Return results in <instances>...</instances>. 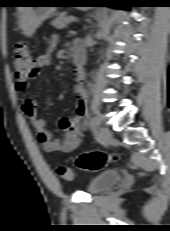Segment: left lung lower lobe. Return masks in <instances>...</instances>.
<instances>
[{
  "label": "left lung lower lobe",
  "mask_w": 170,
  "mask_h": 231,
  "mask_svg": "<svg viewBox=\"0 0 170 231\" xmlns=\"http://www.w3.org/2000/svg\"><path fill=\"white\" fill-rule=\"evenodd\" d=\"M108 2H113L112 0H106ZM117 7V6H116ZM129 6H124V7H117V8H120V9H128Z\"/></svg>",
  "instance_id": "obj_1"
}]
</instances>
